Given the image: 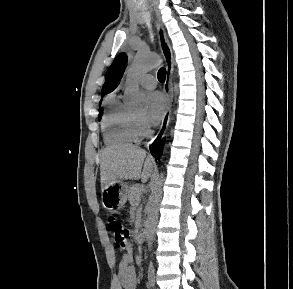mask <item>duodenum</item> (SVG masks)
<instances>
[{"mask_svg": "<svg viewBox=\"0 0 293 289\" xmlns=\"http://www.w3.org/2000/svg\"><path fill=\"white\" fill-rule=\"evenodd\" d=\"M146 233H147L146 225L143 224V225H141L140 228L138 229V233H137V236H136L137 240H138L139 242H143V241H145V239H146Z\"/></svg>", "mask_w": 293, "mask_h": 289, "instance_id": "410a0bca", "label": "duodenum"}]
</instances>
